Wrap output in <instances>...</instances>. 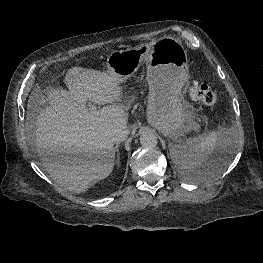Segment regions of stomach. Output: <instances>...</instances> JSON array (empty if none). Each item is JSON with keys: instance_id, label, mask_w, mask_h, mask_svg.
I'll return each mask as SVG.
<instances>
[{"instance_id": "1", "label": "stomach", "mask_w": 263, "mask_h": 263, "mask_svg": "<svg viewBox=\"0 0 263 263\" xmlns=\"http://www.w3.org/2000/svg\"><path fill=\"white\" fill-rule=\"evenodd\" d=\"M146 63L149 86L147 119L163 135L179 140L194 129L190 113L182 99L189 78L187 51L173 37L113 51L107 58L108 74L118 83L133 76Z\"/></svg>"}]
</instances>
